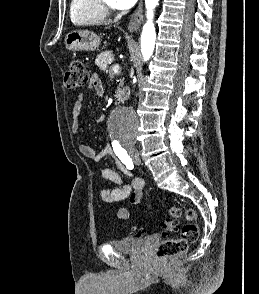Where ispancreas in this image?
I'll return each mask as SVG.
<instances>
[{
    "instance_id": "obj_1",
    "label": "pancreas",
    "mask_w": 259,
    "mask_h": 294,
    "mask_svg": "<svg viewBox=\"0 0 259 294\" xmlns=\"http://www.w3.org/2000/svg\"><path fill=\"white\" fill-rule=\"evenodd\" d=\"M114 56L111 51H105L100 53L95 60V64L102 71H109V73H113L112 69H109V65L113 62ZM122 99V98H120Z\"/></svg>"
}]
</instances>
